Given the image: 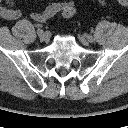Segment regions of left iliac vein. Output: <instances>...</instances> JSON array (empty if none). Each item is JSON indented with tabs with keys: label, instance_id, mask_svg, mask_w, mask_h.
<instances>
[{
	"label": "left iliac vein",
	"instance_id": "obj_1",
	"mask_svg": "<svg viewBox=\"0 0 128 128\" xmlns=\"http://www.w3.org/2000/svg\"><path fill=\"white\" fill-rule=\"evenodd\" d=\"M78 38H79V41H80L83 45H85V46L89 45V43L91 42L87 37H85V36H83V35H79Z\"/></svg>",
	"mask_w": 128,
	"mask_h": 128
}]
</instances>
